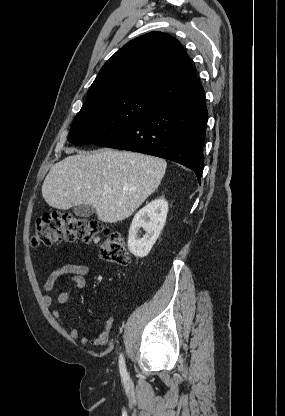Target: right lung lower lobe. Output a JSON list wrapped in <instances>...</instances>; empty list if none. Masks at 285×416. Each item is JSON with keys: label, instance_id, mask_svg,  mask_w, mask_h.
Masks as SVG:
<instances>
[{"label": "right lung lower lobe", "instance_id": "obj_1", "mask_svg": "<svg viewBox=\"0 0 285 416\" xmlns=\"http://www.w3.org/2000/svg\"><path fill=\"white\" fill-rule=\"evenodd\" d=\"M207 119L203 90L161 106L95 144L172 160L192 169L200 183Z\"/></svg>", "mask_w": 285, "mask_h": 416}]
</instances>
